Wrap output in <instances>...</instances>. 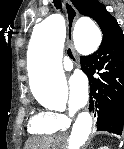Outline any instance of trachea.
I'll list each match as a JSON object with an SVG mask.
<instances>
[{"mask_svg": "<svg viewBox=\"0 0 124 149\" xmlns=\"http://www.w3.org/2000/svg\"><path fill=\"white\" fill-rule=\"evenodd\" d=\"M53 3H54V6L56 7V9H61L62 8V4H61L60 0H54ZM68 55H69L70 58L74 59L70 49L68 51Z\"/></svg>", "mask_w": 124, "mask_h": 149, "instance_id": "trachea-1", "label": "trachea"}]
</instances>
